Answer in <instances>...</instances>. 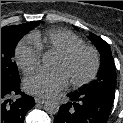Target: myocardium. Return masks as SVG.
Instances as JSON below:
<instances>
[{"label":"myocardium","mask_w":123,"mask_h":123,"mask_svg":"<svg viewBox=\"0 0 123 123\" xmlns=\"http://www.w3.org/2000/svg\"><path fill=\"white\" fill-rule=\"evenodd\" d=\"M80 52H88L92 56L93 65L91 71L84 78L80 80L69 81V84L74 88L83 87L93 81L98 74L101 63L98 50L95 47L86 44L77 45L64 51L58 52L57 56L63 60H69Z\"/></svg>","instance_id":"obj_1"}]
</instances>
